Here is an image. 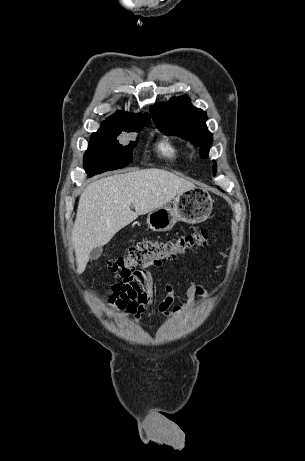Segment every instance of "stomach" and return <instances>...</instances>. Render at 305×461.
Returning a JSON list of instances; mask_svg holds the SVG:
<instances>
[{
    "instance_id": "1",
    "label": "stomach",
    "mask_w": 305,
    "mask_h": 461,
    "mask_svg": "<svg viewBox=\"0 0 305 461\" xmlns=\"http://www.w3.org/2000/svg\"><path fill=\"white\" fill-rule=\"evenodd\" d=\"M213 200L200 188L186 190L176 196L173 207L163 206L147 215L148 228L156 232L171 230L176 222L196 224L205 221L211 214Z\"/></svg>"
}]
</instances>
